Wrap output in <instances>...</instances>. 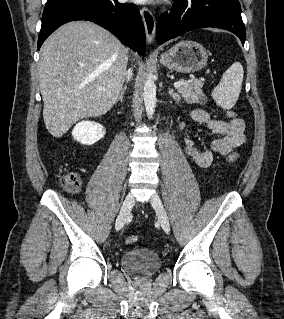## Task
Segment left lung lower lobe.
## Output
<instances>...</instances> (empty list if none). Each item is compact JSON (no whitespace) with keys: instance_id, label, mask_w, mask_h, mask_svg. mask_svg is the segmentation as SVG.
Returning <instances> with one entry per match:
<instances>
[{"instance_id":"obj_1","label":"left lung lower lobe","mask_w":284,"mask_h":319,"mask_svg":"<svg viewBox=\"0 0 284 319\" xmlns=\"http://www.w3.org/2000/svg\"><path fill=\"white\" fill-rule=\"evenodd\" d=\"M214 27L236 34L244 45L246 30L238 0H177L169 13L157 22L160 45L188 31Z\"/></svg>"}]
</instances>
